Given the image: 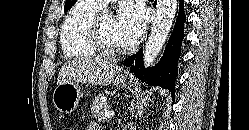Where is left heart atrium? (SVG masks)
<instances>
[{
	"instance_id": "left-heart-atrium-1",
	"label": "left heart atrium",
	"mask_w": 249,
	"mask_h": 130,
	"mask_svg": "<svg viewBox=\"0 0 249 130\" xmlns=\"http://www.w3.org/2000/svg\"><path fill=\"white\" fill-rule=\"evenodd\" d=\"M146 26L144 8L132 1L120 4L116 16V28L123 46L137 42Z\"/></svg>"
}]
</instances>
